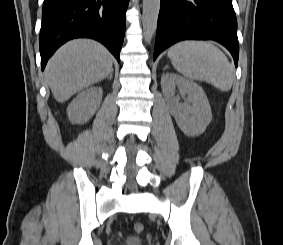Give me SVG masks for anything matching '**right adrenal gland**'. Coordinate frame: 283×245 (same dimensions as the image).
I'll list each match as a JSON object with an SVG mask.
<instances>
[{"mask_svg":"<svg viewBox=\"0 0 283 245\" xmlns=\"http://www.w3.org/2000/svg\"><path fill=\"white\" fill-rule=\"evenodd\" d=\"M112 77H113V71L111 72L109 79L112 80Z\"/></svg>","mask_w":283,"mask_h":245,"instance_id":"1","label":"right adrenal gland"}]
</instances>
